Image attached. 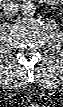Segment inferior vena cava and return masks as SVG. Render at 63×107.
Wrapping results in <instances>:
<instances>
[{
    "instance_id": "602c4592",
    "label": "inferior vena cava",
    "mask_w": 63,
    "mask_h": 107,
    "mask_svg": "<svg viewBox=\"0 0 63 107\" xmlns=\"http://www.w3.org/2000/svg\"><path fill=\"white\" fill-rule=\"evenodd\" d=\"M19 6L16 3L10 2L4 5L3 13L6 17H14L18 14Z\"/></svg>"
}]
</instances>
